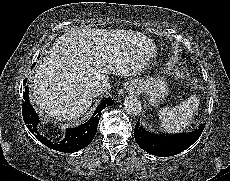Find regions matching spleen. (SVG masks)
Masks as SVG:
<instances>
[{"mask_svg":"<svg viewBox=\"0 0 230 181\" xmlns=\"http://www.w3.org/2000/svg\"><path fill=\"white\" fill-rule=\"evenodd\" d=\"M198 106L199 99L193 95L175 107L162 108L159 111L162 129L168 133L182 131L189 125Z\"/></svg>","mask_w":230,"mask_h":181,"instance_id":"spleen-1","label":"spleen"}]
</instances>
